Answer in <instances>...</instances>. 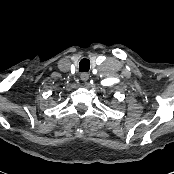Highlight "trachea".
<instances>
[{
	"instance_id": "trachea-1",
	"label": "trachea",
	"mask_w": 174,
	"mask_h": 174,
	"mask_svg": "<svg viewBox=\"0 0 174 174\" xmlns=\"http://www.w3.org/2000/svg\"><path fill=\"white\" fill-rule=\"evenodd\" d=\"M90 69V61L86 58H83L79 63V71L86 72Z\"/></svg>"
}]
</instances>
